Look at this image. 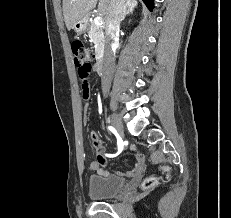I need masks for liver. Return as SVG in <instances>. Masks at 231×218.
<instances>
[{"label":"liver","instance_id":"1","mask_svg":"<svg viewBox=\"0 0 231 218\" xmlns=\"http://www.w3.org/2000/svg\"><path fill=\"white\" fill-rule=\"evenodd\" d=\"M98 0H63V15L68 30L73 29V25L88 16V13L96 7ZM111 0H99L98 14L106 19ZM132 7H136V0H129Z\"/></svg>","mask_w":231,"mask_h":218}]
</instances>
